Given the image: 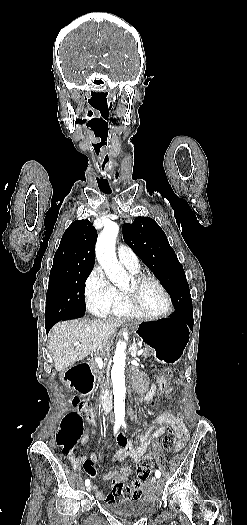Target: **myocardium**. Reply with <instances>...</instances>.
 <instances>
[{
	"mask_svg": "<svg viewBox=\"0 0 247 525\" xmlns=\"http://www.w3.org/2000/svg\"><path fill=\"white\" fill-rule=\"evenodd\" d=\"M146 279L153 281L162 290L166 298V304H165V307L162 308L161 310L150 311L142 304L136 292L132 291L131 293L135 296L137 300L138 313H140L141 315L147 316V317H154V318H160V317L167 315L172 309V298H171L170 293L166 289V287L156 276L152 274L141 273L138 276H134L132 278V281H133V284L137 286Z\"/></svg>",
	"mask_w": 247,
	"mask_h": 525,
	"instance_id": "f54148a6",
	"label": "myocardium"
}]
</instances>
